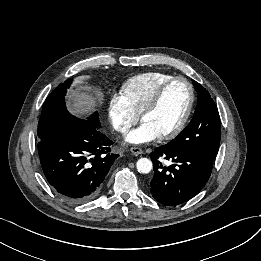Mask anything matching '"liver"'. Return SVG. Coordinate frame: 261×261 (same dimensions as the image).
Returning a JSON list of instances; mask_svg holds the SVG:
<instances>
[{
	"instance_id": "1",
	"label": "liver",
	"mask_w": 261,
	"mask_h": 261,
	"mask_svg": "<svg viewBox=\"0 0 261 261\" xmlns=\"http://www.w3.org/2000/svg\"><path fill=\"white\" fill-rule=\"evenodd\" d=\"M99 100V93L88 87L78 88L69 95L68 109L73 114L82 115L96 106Z\"/></svg>"
}]
</instances>
